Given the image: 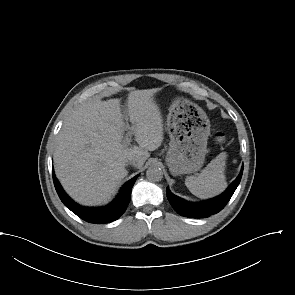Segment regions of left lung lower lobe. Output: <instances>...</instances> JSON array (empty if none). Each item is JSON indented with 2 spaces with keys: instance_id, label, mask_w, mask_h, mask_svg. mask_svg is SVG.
<instances>
[{
  "instance_id": "1",
  "label": "left lung lower lobe",
  "mask_w": 295,
  "mask_h": 295,
  "mask_svg": "<svg viewBox=\"0 0 295 295\" xmlns=\"http://www.w3.org/2000/svg\"><path fill=\"white\" fill-rule=\"evenodd\" d=\"M243 173V166L239 176L221 195L202 202H189L173 193L167 188V198L174 210L184 217L189 218H207L213 214L220 212L229 202L234 191L240 183Z\"/></svg>"
}]
</instances>
